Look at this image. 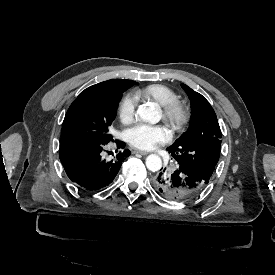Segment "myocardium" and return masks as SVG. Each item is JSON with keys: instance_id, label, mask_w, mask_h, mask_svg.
Here are the masks:
<instances>
[{"instance_id": "myocardium-1", "label": "myocardium", "mask_w": 275, "mask_h": 275, "mask_svg": "<svg viewBox=\"0 0 275 275\" xmlns=\"http://www.w3.org/2000/svg\"><path fill=\"white\" fill-rule=\"evenodd\" d=\"M161 106L162 119L171 126L173 131L179 132L187 126L190 111L183 101L175 99Z\"/></svg>"}]
</instances>
